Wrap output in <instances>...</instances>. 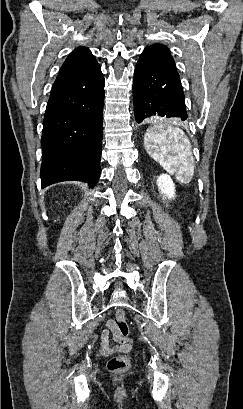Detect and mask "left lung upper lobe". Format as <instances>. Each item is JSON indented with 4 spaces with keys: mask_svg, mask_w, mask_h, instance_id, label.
Here are the masks:
<instances>
[{
    "mask_svg": "<svg viewBox=\"0 0 243 409\" xmlns=\"http://www.w3.org/2000/svg\"><path fill=\"white\" fill-rule=\"evenodd\" d=\"M138 62L154 65L177 73L173 57L170 54L169 48L165 45L153 44L146 47L143 50Z\"/></svg>",
    "mask_w": 243,
    "mask_h": 409,
    "instance_id": "5c2ea615",
    "label": "left lung upper lobe"
}]
</instances>
